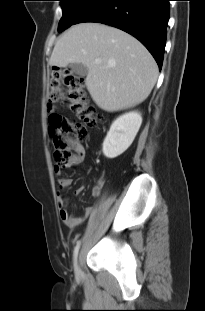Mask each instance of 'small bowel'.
Here are the masks:
<instances>
[{"label":"small bowel","instance_id":"obj_1","mask_svg":"<svg viewBox=\"0 0 205 311\" xmlns=\"http://www.w3.org/2000/svg\"><path fill=\"white\" fill-rule=\"evenodd\" d=\"M86 156V152L83 146H79L75 153L73 154L70 161L65 164L63 167H56L55 171L56 173H61L62 169H70V168H76L79 167ZM72 183V180L68 177L61 176L59 178V190H58V204L60 207L59 215L62 220V222L69 228H76L80 224H82L92 213L93 208L91 206L85 207L81 213L79 214H71L69 210L67 209V201L61 196V193L66 190ZM83 190V187H80L77 190V193H81ZM100 192L99 186H96L92 190V195L98 196Z\"/></svg>","mask_w":205,"mask_h":311}]
</instances>
